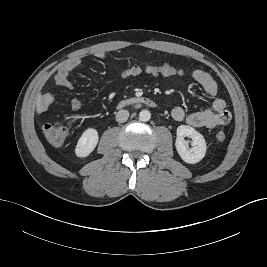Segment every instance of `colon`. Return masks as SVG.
<instances>
[{"label": "colon", "mask_w": 267, "mask_h": 267, "mask_svg": "<svg viewBox=\"0 0 267 267\" xmlns=\"http://www.w3.org/2000/svg\"><path fill=\"white\" fill-rule=\"evenodd\" d=\"M179 72V68L170 64V63H163V64H149L145 66L135 65L123 69L120 73L121 77L123 78H132L138 77L143 74H147L150 76L153 75H164V76H171L177 75ZM43 133L47 140L55 145H61L66 137H67V129L60 123H47L43 126ZM215 140L218 143H221L225 140V134L223 132H218L215 136Z\"/></svg>", "instance_id": "5ec220e1"}]
</instances>
